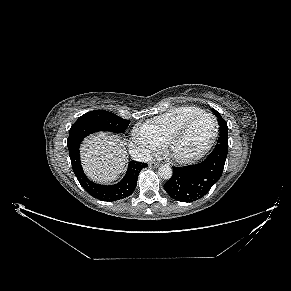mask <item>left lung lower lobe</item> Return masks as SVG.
<instances>
[{"mask_svg": "<svg viewBox=\"0 0 291 291\" xmlns=\"http://www.w3.org/2000/svg\"><path fill=\"white\" fill-rule=\"evenodd\" d=\"M228 152V138L220 134L215 149L201 163L173 167L172 177L164 184L169 196L181 202L204 197L220 179Z\"/></svg>", "mask_w": 291, "mask_h": 291, "instance_id": "0a47b994", "label": "left lung lower lobe"}]
</instances>
